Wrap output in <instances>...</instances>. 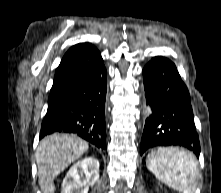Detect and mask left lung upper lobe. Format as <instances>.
<instances>
[{"mask_svg":"<svg viewBox=\"0 0 221 193\" xmlns=\"http://www.w3.org/2000/svg\"><path fill=\"white\" fill-rule=\"evenodd\" d=\"M175 115L176 112L170 106L165 107L162 111V117L169 126H174L176 120Z\"/></svg>","mask_w":221,"mask_h":193,"instance_id":"1","label":"left lung upper lobe"}]
</instances>
